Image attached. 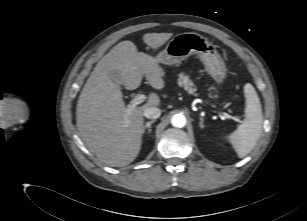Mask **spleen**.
Segmentation results:
<instances>
[{
    "label": "spleen",
    "instance_id": "spleen-1",
    "mask_svg": "<svg viewBox=\"0 0 307 221\" xmlns=\"http://www.w3.org/2000/svg\"><path fill=\"white\" fill-rule=\"evenodd\" d=\"M244 95L246 97L245 119L233 133L226 137L239 158H244L255 148L261 136L263 123L260 99L250 83L245 84Z\"/></svg>",
    "mask_w": 307,
    "mask_h": 221
}]
</instances>
